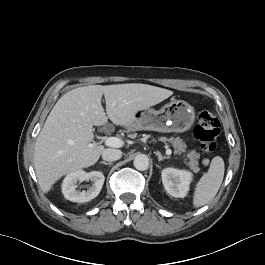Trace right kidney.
I'll return each instance as SVG.
<instances>
[{
  "label": "right kidney",
  "mask_w": 265,
  "mask_h": 265,
  "mask_svg": "<svg viewBox=\"0 0 265 265\" xmlns=\"http://www.w3.org/2000/svg\"><path fill=\"white\" fill-rule=\"evenodd\" d=\"M105 177L102 172L92 171L86 173L77 170L69 173L63 180L62 193L67 200L72 202H88L94 199L101 191ZM91 181L92 185L85 191L77 190V183Z\"/></svg>",
  "instance_id": "ca27d5eb"
}]
</instances>
